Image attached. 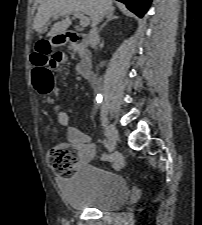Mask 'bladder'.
<instances>
[{
    "mask_svg": "<svg viewBox=\"0 0 202 225\" xmlns=\"http://www.w3.org/2000/svg\"><path fill=\"white\" fill-rule=\"evenodd\" d=\"M63 197L73 209L113 212L123 208L129 196L126 179L109 169L82 165L61 181Z\"/></svg>",
    "mask_w": 202,
    "mask_h": 225,
    "instance_id": "1",
    "label": "bladder"
}]
</instances>
